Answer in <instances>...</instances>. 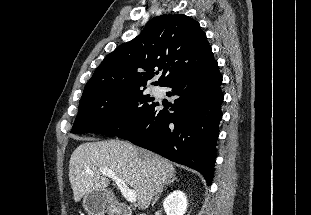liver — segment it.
<instances>
[{
    "mask_svg": "<svg viewBox=\"0 0 311 215\" xmlns=\"http://www.w3.org/2000/svg\"><path fill=\"white\" fill-rule=\"evenodd\" d=\"M86 141L73 151L69 161V181L75 202L91 190H107L110 180L101 170L109 169L136 192L139 209L144 210L175 176L172 163L129 142Z\"/></svg>",
    "mask_w": 311,
    "mask_h": 215,
    "instance_id": "liver-1",
    "label": "liver"
}]
</instances>
